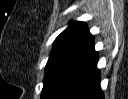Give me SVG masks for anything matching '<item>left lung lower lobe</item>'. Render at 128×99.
Returning <instances> with one entry per match:
<instances>
[{
  "label": "left lung lower lobe",
  "mask_w": 128,
  "mask_h": 99,
  "mask_svg": "<svg viewBox=\"0 0 128 99\" xmlns=\"http://www.w3.org/2000/svg\"><path fill=\"white\" fill-rule=\"evenodd\" d=\"M93 37L55 73L42 99H104Z\"/></svg>",
  "instance_id": "0a47b994"
}]
</instances>
